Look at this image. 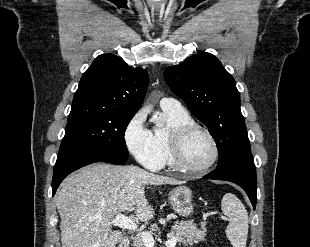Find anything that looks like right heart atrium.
Segmentation results:
<instances>
[{"label": "right heart atrium", "instance_id": "1", "mask_svg": "<svg viewBox=\"0 0 310 247\" xmlns=\"http://www.w3.org/2000/svg\"><path fill=\"white\" fill-rule=\"evenodd\" d=\"M146 111L140 110L128 122L123 137L129 152L144 167L158 170L160 160L152 132L146 126Z\"/></svg>", "mask_w": 310, "mask_h": 247}]
</instances>
